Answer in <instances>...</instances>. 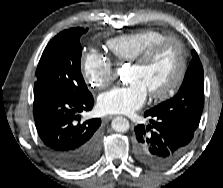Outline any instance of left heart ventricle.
Instances as JSON below:
<instances>
[{"mask_svg":"<svg viewBox=\"0 0 223 188\" xmlns=\"http://www.w3.org/2000/svg\"><path fill=\"white\" fill-rule=\"evenodd\" d=\"M179 65V53L175 45H168L145 67L131 66L129 81H139L147 92L162 90L174 79Z\"/></svg>","mask_w":223,"mask_h":188,"instance_id":"1","label":"left heart ventricle"}]
</instances>
